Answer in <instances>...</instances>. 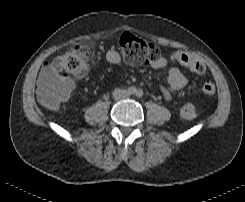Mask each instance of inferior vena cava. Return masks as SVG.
<instances>
[{"instance_id":"602c4592","label":"inferior vena cava","mask_w":245,"mask_h":202,"mask_svg":"<svg viewBox=\"0 0 245 202\" xmlns=\"http://www.w3.org/2000/svg\"><path fill=\"white\" fill-rule=\"evenodd\" d=\"M127 96H128V93H127V91L124 90V89H115V90L113 91V98H114L115 100L123 99V98H125V97H127Z\"/></svg>"}]
</instances>
